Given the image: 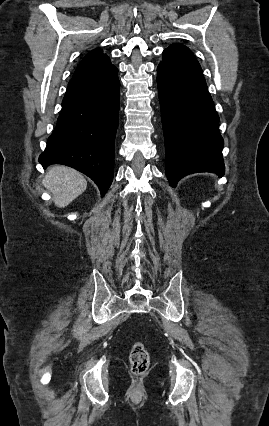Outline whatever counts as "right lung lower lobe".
<instances>
[{
  "mask_svg": "<svg viewBox=\"0 0 269 426\" xmlns=\"http://www.w3.org/2000/svg\"><path fill=\"white\" fill-rule=\"evenodd\" d=\"M119 105L120 82L114 65L73 77L56 128L39 157L42 166H70L90 177L104 196L114 173Z\"/></svg>",
  "mask_w": 269,
  "mask_h": 426,
  "instance_id": "1",
  "label": "right lung lower lobe"
}]
</instances>
